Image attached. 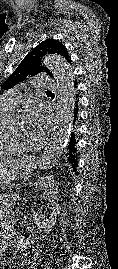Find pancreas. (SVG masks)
I'll list each match as a JSON object with an SVG mask.
<instances>
[{
	"label": "pancreas",
	"instance_id": "cf45deb5",
	"mask_svg": "<svg viewBox=\"0 0 118 269\" xmlns=\"http://www.w3.org/2000/svg\"><path fill=\"white\" fill-rule=\"evenodd\" d=\"M31 181V177H25L24 179H18L17 182H10V187H7V192H19L24 189L22 184H29Z\"/></svg>",
	"mask_w": 118,
	"mask_h": 269
}]
</instances>
